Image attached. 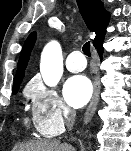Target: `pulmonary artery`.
Instances as JSON below:
<instances>
[{"mask_svg": "<svg viewBox=\"0 0 131 151\" xmlns=\"http://www.w3.org/2000/svg\"><path fill=\"white\" fill-rule=\"evenodd\" d=\"M66 68L70 72H81L85 69L86 67V60L83 56V54L76 50L71 52L67 58H66Z\"/></svg>", "mask_w": 131, "mask_h": 151, "instance_id": "1", "label": "pulmonary artery"}]
</instances>
